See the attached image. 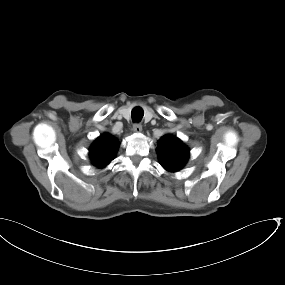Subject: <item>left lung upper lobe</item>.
<instances>
[{
	"instance_id": "obj_1",
	"label": "left lung upper lobe",
	"mask_w": 285,
	"mask_h": 285,
	"mask_svg": "<svg viewBox=\"0 0 285 285\" xmlns=\"http://www.w3.org/2000/svg\"><path fill=\"white\" fill-rule=\"evenodd\" d=\"M158 158L160 164L170 172L179 171L189 158V149L182 141L171 135H166L158 141Z\"/></svg>"
}]
</instances>
